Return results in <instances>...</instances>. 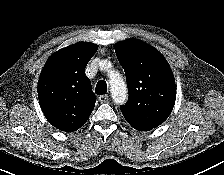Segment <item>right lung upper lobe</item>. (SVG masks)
<instances>
[{"label":"right lung upper lobe","mask_w":224,"mask_h":175,"mask_svg":"<svg viewBox=\"0 0 224 175\" xmlns=\"http://www.w3.org/2000/svg\"><path fill=\"white\" fill-rule=\"evenodd\" d=\"M98 47L78 42L55 52L47 60L38 82V98L48 122L73 132L92 113L96 97L85 76V67Z\"/></svg>","instance_id":"1"}]
</instances>
